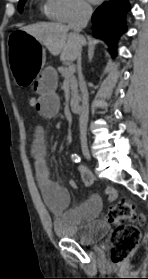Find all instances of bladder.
I'll use <instances>...</instances> for the list:
<instances>
[{"mask_svg": "<svg viewBox=\"0 0 148 279\" xmlns=\"http://www.w3.org/2000/svg\"><path fill=\"white\" fill-rule=\"evenodd\" d=\"M56 235L82 245H92L102 240L108 233L109 226L102 220H94L84 225H75L59 215L53 220Z\"/></svg>", "mask_w": 148, "mask_h": 279, "instance_id": "obj_1", "label": "bladder"}]
</instances>
